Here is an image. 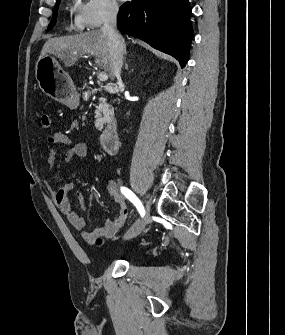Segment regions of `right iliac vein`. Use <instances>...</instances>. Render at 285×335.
Wrapping results in <instances>:
<instances>
[{
    "label": "right iliac vein",
    "mask_w": 285,
    "mask_h": 335,
    "mask_svg": "<svg viewBox=\"0 0 285 335\" xmlns=\"http://www.w3.org/2000/svg\"><path fill=\"white\" fill-rule=\"evenodd\" d=\"M148 209V206H147ZM146 222V217L139 219L136 221V223L133 225V227L126 233L125 239H132L137 237L143 230L144 225Z\"/></svg>",
    "instance_id": "right-iliac-vein-1"
}]
</instances>
